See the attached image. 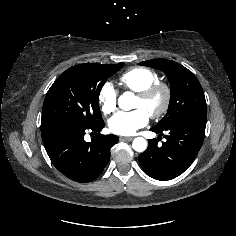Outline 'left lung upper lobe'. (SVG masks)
<instances>
[{"mask_svg":"<svg viewBox=\"0 0 236 236\" xmlns=\"http://www.w3.org/2000/svg\"><path fill=\"white\" fill-rule=\"evenodd\" d=\"M140 64L164 71L171 87L168 112L154 128L162 129L187 116L207 113L203 89L190 70L166 59H153Z\"/></svg>","mask_w":236,"mask_h":236,"instance_id":"left-lung-upper-lobe-1","label":"left lung upper lobe"}]
</instances>
